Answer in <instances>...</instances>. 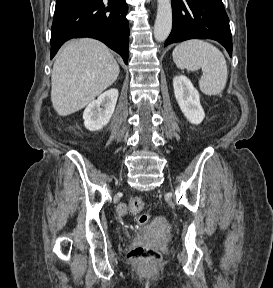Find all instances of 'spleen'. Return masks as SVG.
<instances>
[{
  "label": "spleen",
  "mask_w": 273,
  "mask_h": 288,
  "mask_svg": "<svg viewBox=\"0 0 273 288\" xmlns=\"http://www.w3.org/2000/svg\"><path fill=\"white\" fill-rule=\"evenodd\" d=\"M172 55L180 69H203L199 87L205 95H218L223 91L228 76L227 64L217 47L200 39H191L177 45Z\"/></svg>",
  "instance_id": "spleen-1"
}]
</instances>
